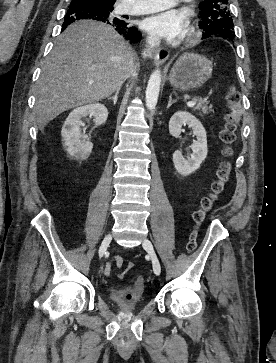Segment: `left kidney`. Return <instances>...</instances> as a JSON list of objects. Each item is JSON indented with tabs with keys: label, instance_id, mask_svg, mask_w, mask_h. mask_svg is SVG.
<instances>
[{
	"label": "left kidney",
	"instance_id": "obj_1",
	"mask_svg": "<svg viewBox=\"0 0 276 363\" xmlns=\"http://www.w3.org/2000/svg\"><path fill=\"white\" fill-rule=\"evenodd\" d=\"M188 125L196 136V141L191 145L192 154L190 158H184L181 151L177 150L173 154V164L177 172L182 176H188L199 169L201 163L205 160L208 152L207 135L201 122L186 111L174 113L169 121V133L179 138L182 127Z\"/></svg>",
	"mask_w": 276,
	"mask_h": 363
}]
</instances>
